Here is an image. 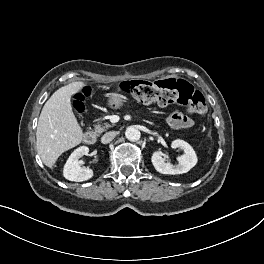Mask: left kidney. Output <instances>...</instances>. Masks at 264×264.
I'll return each instance as SVG.
<instances>
[{"label":"left kidney","mask_w":264,"mask_h":264,"mask_svg":"<svg viewBox=\"0 0 264 264\" xmlns=\"http://www.w3.org/2000/svg\"><path fill=\"white\" fill-rule=\"evenodd\" d=\"M172 148H180L184 154L178 158V165L174 166L171 163H165L161 154L155 151L152 154L151 161L154 168L161 174H183L188 172L197 163V155L190 144L184 140L176 139L171 143Z\"/></svg>","instance_id":"5707ae66"}]
</instances>
